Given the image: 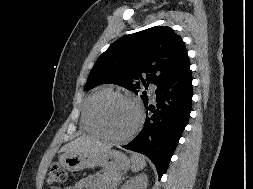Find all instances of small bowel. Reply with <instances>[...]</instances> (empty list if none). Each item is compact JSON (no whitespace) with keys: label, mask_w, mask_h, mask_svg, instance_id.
<instances>
[{"label":"small bowel","mask_w":253,"mask_h":189,"mask_svg":"<svg viewBox=\"0 0 253 189\" xmlns=\"http://www.w3.org/2000/svg\"><path fill=\"white\" fill-rule=\"evenodd\" d=\"M54 189H61L55 187ZM65 189H101L98 179L94 176L84 178L77 182L75 185L68 186Z\"/></svg>","instance_id":"obj_1"}]
</instances>
